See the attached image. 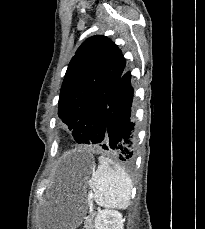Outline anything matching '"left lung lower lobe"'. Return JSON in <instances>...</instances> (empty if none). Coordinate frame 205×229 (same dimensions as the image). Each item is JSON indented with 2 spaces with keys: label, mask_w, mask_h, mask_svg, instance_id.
Masks as SVG:
<instances>
[{
  "label": "left lung lower lobe",
  "mask_w": 205,
  "mask_h": 229,
  "mask_svg": "<svg viewBox=\"0 0 205 229\" xmlns=\"http://www.w3.org/2000/svg\"><path fill=\"white\" fill-rule=\"evenodd\" d=\"M132 101L131 73L123 72L108 100L102 126L88 131L92 143L125 162H131L135 153L136 127L131 111Z\"/></svg>",
  "instance_id": "left-lung-lower-lobe-1"
}]
</instances>
